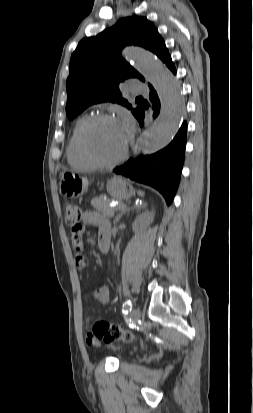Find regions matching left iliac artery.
I'll return each instance as SVG.
<instances>
[{
    "instance_id": "1",
    "label": "left iliac artery",
    "mask_w": 253,
    "mask_h": 413,
    "mask_svg": "<svg viewBox=\"0 0 253 413\" xmlns=\"http://www.w3.org/2000/svg\"><path fill=\"white\" fill-rule=\"evenodd\" d=\"M132 309V303L130 300H127L126 302H124L123 307H122V312L124 314L128 313L129 311H131Z\"/></svg>"
}]
</instances>
